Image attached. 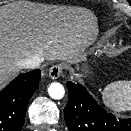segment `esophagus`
<instances>
[{"label":"esophagus","mask_w":131,"mask_h":131,"mask_svg":"<svg viewBox=\"0 0 131 131\" xmlns=\"http://www.w3.org/2000/svg\"><path fill=\"white\" fill-rule=\"evenodd\" d=\"M62 72V67L61 65H54L53 67L50 68L49 70V77L53 80L57 79L60 77Z\"/></svg>","instance_id":"1"}]
</instances>
